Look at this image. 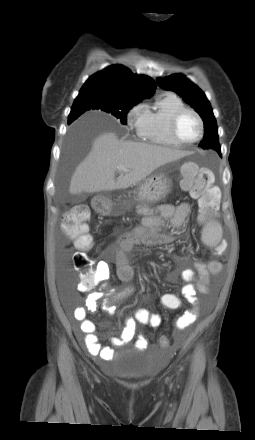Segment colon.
<instances>
[{
	"label": "colon",
	"instance_id": "colon-1",
	"mask_svg": "<svg viewBox=\"0 0 255 440\" xmlns=\"http://www.w3.org/2000/svg\"><path fill=\"white\" fill-rule=\"evenodd\" d=\"M214 182L213 172L206 167H198L189 163L182 168L181 187L189 191L191 197L199 202L200 211L205 214H213L218 209L219 193L212 186ZM90 211L85 205H75L65 213L61 226L66 236L78 248L73 255V267L81 273L78 284L80 290H88L96 284V267L94 262L85 253L92 246V237L89 233ZM160 304L164 311H180L182 302L180 298H161ZM161 352H170L173 341L167 334H160L158 339Z\"/></svg>",
	"mask_w": 255,
	"mask_h": 440
}]
</instances>
